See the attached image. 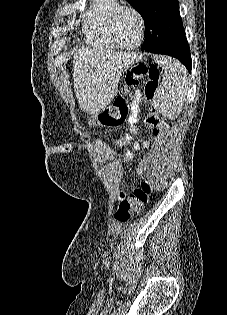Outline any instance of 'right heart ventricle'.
I'll list each match as a JSON object with an SVG mask.
<instances>
[{"label":"right heart ventricle","mask_w":227,"mask_h":315,"mask_svg":"<svg viewBox=\"0 0 227 315\" xmlns=\"http://www.w3.org/2000/svg\"><path fill=\"white\" fill-rule=\"evenodd\" d=\"M120 6L119 0H91L83 14V22L89 42L97 47L113 49L108 32L113 12Z\"/></svg>","instance_id":"obj_1"}]
</instances>
